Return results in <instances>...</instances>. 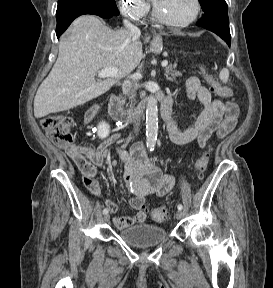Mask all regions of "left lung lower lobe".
I'll list each match as a JSON object with an SVG mask.
<instances>
[{
  "mask_svg": "<svg viewBox=\"0 0 273 288\" xmlns=\"http://www.w3.org/2000/svg\"><path fill=\"white\" fill-rule=\"evenodd\" d=\"M197 25L214 32L223 40H225L230 46L231 36L229 29L228 10L220 11L211 15L204 14L197 22Z\"/></svg>",
  "mask_w": 273,
  "mask_h": 288,
  "instance_id": "1",
  "label": "left lung lower lobe"
}]
</instances>
